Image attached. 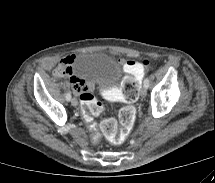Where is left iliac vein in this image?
Returning a JSON list of instances; mask_svg holds the SVG:
<instances>
[{"mask_svg":"<svg viewBox=\"0 0 215 183\" xmlns=\"http://www.w3.org/2000/svg\"><path fill=\"white\" fill-rule=\"evenodd\" d=\"M146 94H147V88H146V87H143V88L141 89V91H140V95H141L142 97H145Z\"/></svg>","mask_w":215,"mask_h":183,"instance_id":"4c4485c4","label":"left iliac vein"}]
</instances>
